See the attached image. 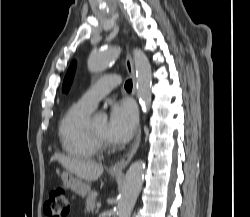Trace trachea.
Instances as JSON below:
<instances>
[{
    "instance_id": "trachea-1",
    "label": "trachea",
    "mask_w": 250,
    "mask_h": 217,
    "mask_svg": "<svg viewBox=\"0 0 250 217\" xmlns=\"http://www.w3.org/2000/svg\"><path fill=\"white\" fill-rule=\"evenodd\" d=\"M125 89L131 90L132 89V80H127L125 83Z\"/></svg>"
}]
</instances>
